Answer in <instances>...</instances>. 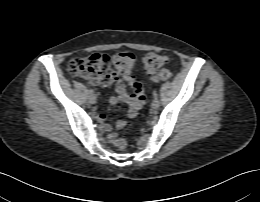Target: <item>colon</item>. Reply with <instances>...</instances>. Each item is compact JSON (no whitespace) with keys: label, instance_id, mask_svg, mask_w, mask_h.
<instances>
[{"label":"colon","instance_id":"obj_1","mask_svg":"<svg viewBox=\"0 0 260 202\" xmlns=\"http://www.w3.org/2000/svg\"><path fill=\"white\" fill-rule=\"evenodd\" d=\"M166 62V56L150 52L143 58V68L147 73L153 74L154 82L167 81L172 77V72L163 68ZM134 66V55L122 51L112 55L96 53L88 57L74 58L68 63L67 70L70 75L82 77L94 85H109L117 79L118 75L129 78ZM111 138L119 150L127 147L126 141L115 133Z\"/></svg>","mask_w":260,"mask_h":202}]
</instances>
